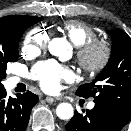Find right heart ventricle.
Here are the masks:
<instances>
[{"label": "right heart ventricle", "mask_w": 131, "mask_h": 131, "mask_svg": "<svg viewBox=\"0 0 131 131\" xmlns=\"http://www.w3.org/2000/svg\"><path fill=\"white\" fill-rule=\"evenodd\" d=\"M61 30L77 47L97 37V33L92 26L78 20L65 21Z\"/></svg>", "instance_id": "right-heart-ventricle-1"}]
</instances>
